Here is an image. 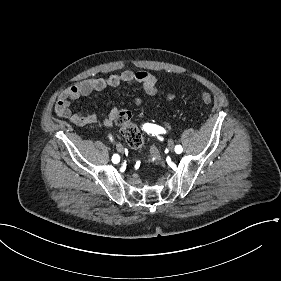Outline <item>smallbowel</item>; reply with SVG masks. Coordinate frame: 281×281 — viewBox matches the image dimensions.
<instances>
[{"label": "small bowel", "instance_id": "c3829d8e", "mask_svg": "<svg viewBox=\"0 0 281 281\" xmlns=\"http://www.w3.org/2000/svg\"><path fill=\"white\" fill-rule=\"evenodd\" d=\"M121 83L140 84L145 94L153 96L157 93L156 77L147 71H134L125 69L120 73L112 74L106 78H89L82 80L71 87L64 89L57 100L55 112L59 117L68 119L71 123L77 126H85L92 124H103L106 126L112 125L116 122V117L120 112L127 110L112 108L107 115L96 113L74 112L71 104L78 98H86L96 92H100L110 87H117ZM174 99L173 94L167 95V100ZM135 104H141V100L137 99ZM129 112V111H128Z\"/></svg>", "mask_w": 281, "mask_h": 281}]
</instances>
